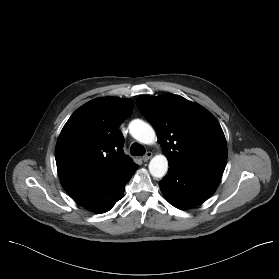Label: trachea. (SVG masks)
<instances>
[{
	"instance_id": "trachea-1",
	"label": "trachea",
	"mask_w": 279,
	"mask_h": 279,
	"mask_svg": "<svg viewBox=\"0 0 279 279\" xmlns=\"http://www.w3.org/2000/svg\"><path fill=\"white\" fill-rule=\"evenodd\" d=\"M133 156H142L145 154V148L139 143H133L130 148Z\"/></svg>"
}]
</instances>
